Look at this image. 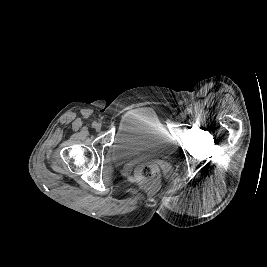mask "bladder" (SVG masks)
Returning <instances> with one entry per match:
<instances>
[{
  "label": "bladder",
  "instance_id": "31cf9c89",
  "mask_svg": "<svg viewBox=\"0 0 267 267\" xmlns=\"http://www.w3.org/2000/svg\"><path fill=\"white\" fill-rule=\"evenodd\" d=\"M168 146L167 132L155 112L149 108H138L121 119L110 154L114 162L122 163L159 155Z\"/></svg>",
  "mask_w": 267,
  "mask_h": 267
}]
</instances>
